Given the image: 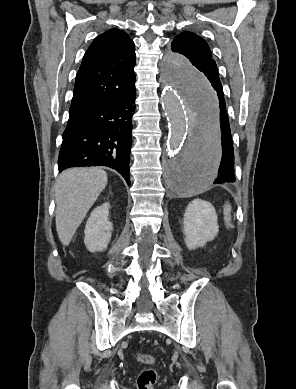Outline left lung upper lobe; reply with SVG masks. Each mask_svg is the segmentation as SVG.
Listing matches in <instances>:
<instances>
[{"instance_id": "5c2ea615", "label": "left lung upper lobe", "mask_w": 296, "mask_h": 389, "mask_svg": "<svg viewBox=\"0 0 296 389\" xmlns=\"http://www.w3.org/2000/svg\"><path fill=\"white\" fill-rule=\"evenodd\" d=\"M171 49L184 55L205 79L217 70L208 44L195 33L188 31L180 33L174 38Z\"/></svg>"}]
</instances>
